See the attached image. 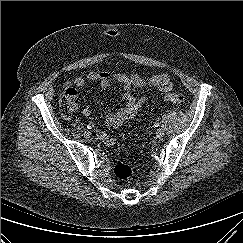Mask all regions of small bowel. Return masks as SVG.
<instances>
[{
    "label": "small bowel",
    "instance_id": "c3829d8e",
    "mask_svg": "<svg viewBox=\"0 0 243 243\" xmlns=\"http://www.w3.org/2000/svg\"><path fill=\"white\" fill-rule=\"evenodd\" d=\"M113 80L123 85V97L125 99L124 106L105 117V124L113 128L119 127L134 118L140 108L147 103L148 96L135 97L132 94L134 88L154 87L162 92H169L172 89V82L168 74H156L149 78H143L138 74L127 75L124 73H109L107 71H93L88 73L86 77H76L71 81L65 82L64 87L75 98L77 94L75 88H82L87 82H97L102 89H106ZM82 114L89 116L91 109L88 107L83 108ZM98 137L106 144L114 142L112 137H109L102 131L98 132Z\"/></svg>",
    "mask_w": 243,
    "mask_h": 243
}]
</instances>
